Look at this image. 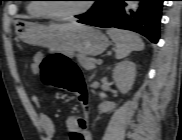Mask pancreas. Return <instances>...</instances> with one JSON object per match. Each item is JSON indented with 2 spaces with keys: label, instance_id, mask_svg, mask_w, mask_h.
I'll list each match as a JSON object with an SVG mask.
<instances>
[{
  "label": "pancreas",
  "instance_id": "cf45deb5",
  "mask_svg": "<svg viewBox=\"0 0 182 140\" xmlns=\"http://www.w3.org/2000/svg\"><path fill=\"white\" fill-rule=\"evenodd\" d=\"M77 60L79 62V64L86 70H92L94 69L95 66V62L96 60L90 57H87L84 54H78L77 55Z\"/></svg>",
  "mask_w": 182,
  "mask_h": 140
}]
</instances>
